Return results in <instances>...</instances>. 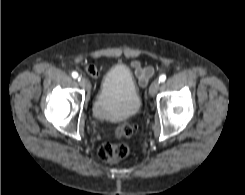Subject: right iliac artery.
<instances>
[{
	"label": "right iliac artery",
	"mask_w": 245,
	"mask_h": 195,
	"mask_svg": "<svg viewBox=\"0 0 245 195\" xmlns=\"http://www.w3.org/2000/svg\"><path fill=\"white\" fill-rule=\"evenodd\" d=\"M72 77L77 79L79 77V75L77 72L74 71V72H72ZM78 79H80V78H78Z\"/></svg>",
	"instance_id": "obj_1"
}]
</instances>
